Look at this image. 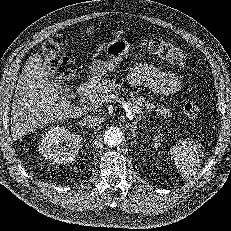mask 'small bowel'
Returning <instances> with one entry per match:
<instances>
[{
  "instance_id": "small-bowel-1",
  "label": "small bowel",
  "mask_w": 231,
  "mask_h": 231,
  "mask_svg": "<svg viewBox=\"0 0 231 231\" xmlns=\"http://www.w3.org/2000/svg\"><path fill=\"white\" fill-rule=\"evenodd\" d=\"M131 84L143 86L155 94L171 95L179 91L181 82L177 74L162 71L152 64L134 65L128 74Z\"/></svg>"
}]
</instances>
